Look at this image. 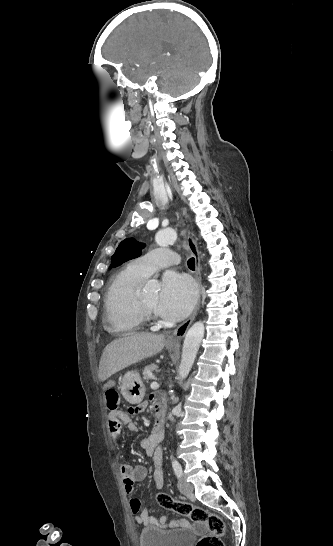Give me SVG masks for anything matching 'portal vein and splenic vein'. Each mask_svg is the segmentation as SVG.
Here are the masks:
<instances>
[{
	"instance_id": "portal-vein-and-splenic-vein-1",
	"label": "portal vein and splenic vein",
	"mask_w": 333,
	"mask_h": 546,
	"mask_svg": "<svg viewBox=\"0 0 333 546\" xmlns=\"http://www.w3.org/2000/svg\"><path fill=\"white\" fill-rule=\"evenodd\" d=\"M151 388L152 389H157V388H159V384L156 381H154V382L151 383Z\"/></svg>"
}]
</instances>
